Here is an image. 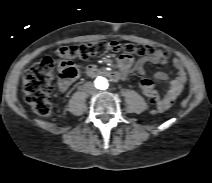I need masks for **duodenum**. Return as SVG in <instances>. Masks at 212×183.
<instances>
[{"label":"duodenum","mask_w":212,"mask_h":183,"mask_svg":"<svg viewBox=\"0 0 212 183\" xmlns=\"http://www.w3.org/2000/svg\"><path fill=\"white\" fill-rule=\"evenodd\" d=\"M86 75L90 77L96 76H106L113 81H118L121 79V75L119 72L106 70L96 66H90L86 69Z\"/></svg>","instance_id":"1"}]
</instances>
